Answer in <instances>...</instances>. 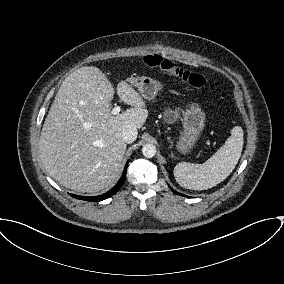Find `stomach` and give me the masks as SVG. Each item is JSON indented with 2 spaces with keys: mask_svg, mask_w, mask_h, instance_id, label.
Wrapping results in <instances>:
<instances>
[{
  "mask_svg": "<svg viewBox=\"0 0 284 284\" xmlns=\"http://www.w3.org/2000/svg\"><path fill=\"white\" fill-rule=\"evenodd\" d=\"M129 82L138 88L143 98L151 100L161 90V82L150 77L141 76L129 79ZM205 113L197 104H190L183 111V130L176 142V149L182 154L189 153L199 139V135L204 127Z\"/></svg>",
  "mask_w": 284,
  "mask_h": 284,
  "instance_id": "obj_1",
  "label": "stomach"
}]
</instances>
